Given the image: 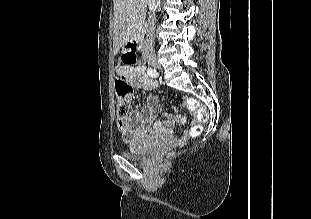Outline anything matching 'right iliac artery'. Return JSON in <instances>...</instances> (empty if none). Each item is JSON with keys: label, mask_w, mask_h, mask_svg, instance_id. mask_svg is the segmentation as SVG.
<instances>
[{"label": "right iliac artery", "mask_w": 311, "mask_h": 219, "mask_svg": "<svg viewBox=\"0 0 311 219\" xmlns=\"http://www.w3.org/2000/svg\"><path fill=\"white\" fill-rule=\"evenodd\" d=\"M148 75H150L153 78H156L158 76V73L155 69L148 68L147 70Z\"/></svg>", "instance_id": "82829eb1"}]
</instances>
